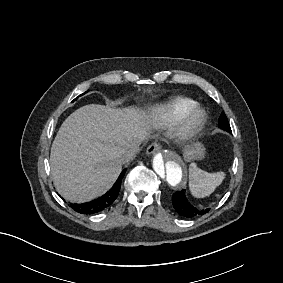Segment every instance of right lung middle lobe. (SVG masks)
Wrapping results in <instances>:
<instances>
[{
	"instance_id": "1",
	"label": "right lung middle lobe",
	"mask_w": 283,
	"mask_h": 283,
	"mask_svg": "<svg viewBox=\"0 0 283 283\" xmlns=\"http://www.w3.org/2000/svg\"><path fill=\"white\" fill-rule=\"evenodd\" d=\"M85 93H86V92H85ZM85 93H83V94H81V95H84ZM81 95H80V96H81ZM73 101H74V100H73Z\"/></svg>"
}]
</instances>
